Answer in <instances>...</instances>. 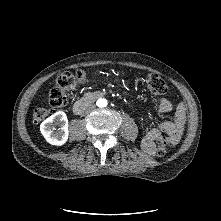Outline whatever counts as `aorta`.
<instances>
[{"label":"aorta","mask_w":221,"mask_h":221,"mask_svg":"<svg viewBox=\"0 0 221 221\" xmlns=\"http://www.w3.org/2000/svg\"><path fill=\"white\" fill-rule=\"evenodd\" d=\"M98 107H106L107 106V100L106 99H98L96 102Z\"/></svg>","instance_id":"obj_1"}]
</instances>
